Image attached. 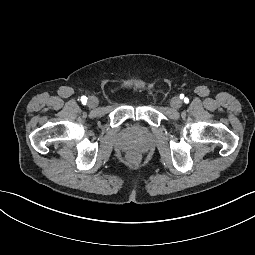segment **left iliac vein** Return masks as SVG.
<instances>
[{
	"instance_id": "obj_1",
	"label": "left iliac vein",
	"mask_w": 255,
	"mask_h": 255,
	"mask_svg": "<svg viewBox=\"0 0 255 255\" xmlns=\"http://www.w3.org/2000/svg\"><path fill=\"white\" fill-rule=\"evenodd\" d=\"M170 105H171L172 108L178 109V108L181 107L182 101H181V99L178 98V97H173V98L171 99V101H170Z\"/></svg>"
}]
</instances>
